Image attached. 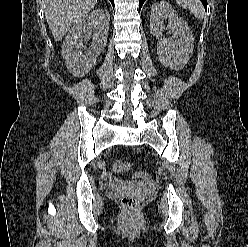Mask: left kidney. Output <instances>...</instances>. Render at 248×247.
Returning a JSON list of instances; mask_svg holds the SVG:
<instances>
[{"label":"left kidney","instance_id":"left-kidney-1","mask_svg":"<svg viewBox=\"0 0 248 247\" xmlns=\"http://www.w3.org/2000/svg\"><path fill=\"white\" fill-rule=\"evenodd\" d=\"M164 21L173 34L171 38H162ZM151 33L158 39L157 55L160 62L171 69H182L193 54L194 37L186 22L167 2L157 3L151 8Z\"/></svg>","mask_w":248,"mask_h":247}]
</instances>
